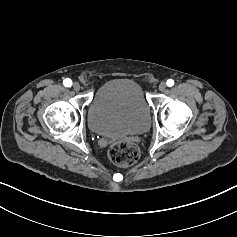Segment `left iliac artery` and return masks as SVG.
I'll return each instance as SVG.
<instances>
[{
	"mask_svg": "<svg viewBox=\"0 0 237 237\" xmlns=\"http://www.w3.org/2000/svg\"><path fill=\"white\" fill-rule=\"evenodd\" d=\"M166 84L167 86L172 87L174 85V81L172 79H168Z\"/></svg>",
	"mask_w": 237,
	"mask_h": 237,
	"instance_id": "1",
	"label": "left iliac artery"
}]
</instances>
